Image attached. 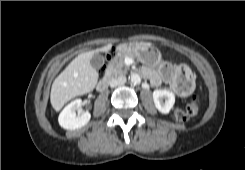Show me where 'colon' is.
Returning a JSON list of instances; mask_svg holds the SVG:
<instances>
[{
	"label": "colon",
	"mask_w": 245,
	"mask_h": 170,
	"mask_svg": "<svg viewBox=\"0 0 245 170\" xmlns=\"http://www.w3.org/2000/svg\"><path fill=\"white\" fill-rule=\"evenodd\" d=\"M113 55L112 52L109 53L108 59L111 58ZM105 68L103 67L100 70V74L102 75L104 73ZM181 80L180 76L175 75V77L172 80L173 84L178 83ZM199 111V101L197 97H194L186 106V108L178 107L174 110L173 116L174 119L179 122L183 123L186 122L190 117L197 115Z\"/></svg>",
	"instance_id": "1"
}]
</instances>
